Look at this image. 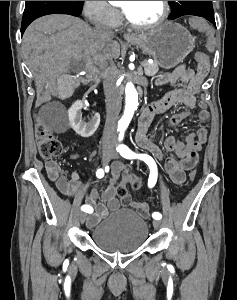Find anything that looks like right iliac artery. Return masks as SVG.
I'll list each match as a JSON object with an SVG mask.
<instances>
[{"label":"right iliac artery","instance_id":"right-iliac-artery-1","mask_svg":"<svg viewBox=\"0 0 237 300\" xmlns=\"http://www.w3.org/2000/svg\"><path fill=\"white\" fill-rule=\"evenodd\" d=\"M96 176L98 178H102L104 176V170L103 169H98L96 172ZM81 210L86 212V213H92L93 212V208L90 205H83L81 207Z\"/></svg>","mask_w":237,"mask_h":300}]
</instances>
